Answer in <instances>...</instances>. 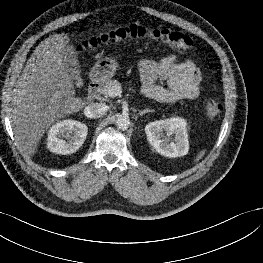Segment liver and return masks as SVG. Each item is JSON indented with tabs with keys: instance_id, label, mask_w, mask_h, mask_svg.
<instances>
[{
	"instance_id": "1",
	"label": "liver",
	"mask_w": 263,
	"mask_h": 263,
	"mask_svg": "<svg viewBox=\"0 0 263 263\" xmlns=\"http://www.w3.org/2000/svg\"><path fill=\"white\" fill-rule=\"evenodd\" d=\"M69 37L56 34L41 42L28 59L12 98L11 119L15 140L27 156L36 152L41 137L52 124L78 112L85 102L75 97L66 71L64 54Z\"/></svg>"
}]
</instances>
